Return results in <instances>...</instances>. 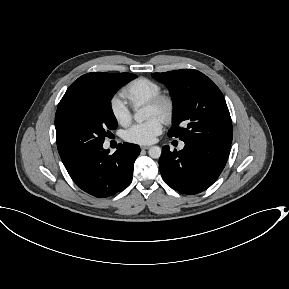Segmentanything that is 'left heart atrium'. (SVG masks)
I'll return each mask as SVG.
<instances>
[{
  "mask_svg": "<svg viewBox=\"0 0 289 289\" xmlns=\"http://www.w3.org/2000/svg\"><path fill=\"white\" fill-rule=\"evenodd\" d=\"M163 130V121L154 116L147 121L133 125L125 131L124 139L127 142L139 145L151 144Z\"/></svg>",
  "mask_w": 289,
  "mask_h": 289,
  "instance_id": "1",
  "label": "left heart atrium"
}]
</instances>
